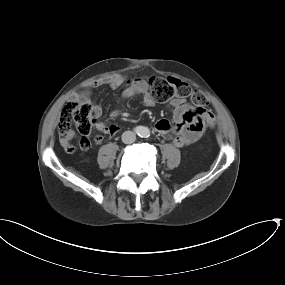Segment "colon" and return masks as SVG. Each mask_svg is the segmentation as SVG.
Returning a JSON list of instances; mask_svg holds the SVG:
<instances>
[{
	"label": "colon",
	"instance_id": "5ec220e1",
	"mask_svg": "<svg viewBox=\"0 0 285 285\" xmlns=\"http://www.w3.org/2000/svg\"><path fill=\"white\" fill-rule=\"evenodd\" d=\"M151 96L159 101L166 102L176 97H189L194 106L204 108L207 105V98L198 90L185 82L174 78L152 77L149 81ZM214 123L213 116L207 119L208 126ZM74 124L83 137L87 139L93 129V119L91 117V106L89 101L68 100L63 107L60 116L59 133L62 141L66 142V132L70 125ZM96 139H100L96 136Z\"/></svg>",
	"mask_w": 285,
	"mask_h": 285
}]
</instances>
